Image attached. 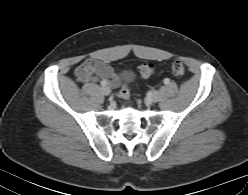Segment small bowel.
Masks as SVG:
<instances>
[{"label":"small bowel","instance_id":"c3829d8e","mask_svg":"<svg viewBox=\"0 0 248 195\" xmlns=\"http://www.w3.org/2000/svg\"><path fill=\"white\" fill-rule=\"evenodd\" d=\"M75 77L82 83L105 81L110 87L116 88L120 83V75L106 62L87 59L75 69Z\"/></svg>","mask_w":248,"mask_h":195}]
</instances>
